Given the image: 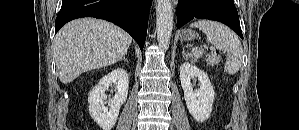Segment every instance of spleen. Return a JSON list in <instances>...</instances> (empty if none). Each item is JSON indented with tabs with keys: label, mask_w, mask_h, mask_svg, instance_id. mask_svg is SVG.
<instances>
[{
	"label": "spleen",
	"mask_w": 299,
	"mask_h": 130,
	"mask_svg": "<svg viewBox=\"0 0 299 130\" xmlns=\"http://www.w3.org/2000/svg\"><path fill=\"white\" fill-rule=\"evenodd\" d=\"M190 27L199 28L206 36L207 41L218 50L227 52V59L224 71L230 75L236 74L242 64L243 49L237 35L227 26L211 21L197 20L191 23ZM195 59L201 57L203 49L195 47L192 49Z\"/></svg>",
	"instance_id": "obj_1"
}]
</instances>
